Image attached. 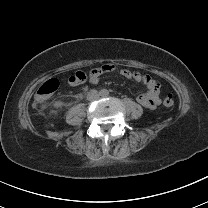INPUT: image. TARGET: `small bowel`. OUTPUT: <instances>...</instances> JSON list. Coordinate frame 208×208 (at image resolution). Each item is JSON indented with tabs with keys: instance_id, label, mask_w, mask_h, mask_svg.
Wrapping results in <instances>:
<instances>
[{
	"instance_id": "obj_1",
	"label": "small bowel",
	"mask_w": 208,
	"mask_h": 208,
	"mask_svg": "<svg viewBox=\"0 0 208 208\" xmlns=\"http://www.w3.org/2000/svg\"><path fill=\"white\" fill-rule=\"evenodd\" d=\"M118 68V65L116 63H108L107 65L103 67H96L94 71L89 73L90 76V82L96 83L99 81V78L107 73H110L113 70H116ZM121 75L133 79L137 82H140L144 84L147 88L146 93L141 94L137 97L138 103L143 105L146 108L152 109L159 103V94H160V88L159 84L155 82L149 75L131 71L128 69H122L120 71ZM71 85H77L70 83Z\"/></svg>"
}]
</instances>
